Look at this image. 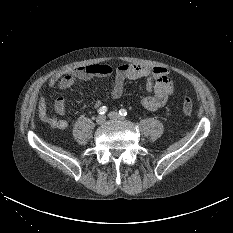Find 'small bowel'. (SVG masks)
I'll list each match as a JSON object with an SVG mask.
<instances>
[{"label":"small bowel","instance_id":"small-bowel-1","mask_svg":"<svg viewBox=\"0 0 233 233\" xmlns=\"http://www.w3.org/2000/svg\"><path fill=\"white\" fill-rule=\"evenodd\" d=\"M93 78H111L113 80L112 98H119L123 94L126 80L146 79L149 94L141 99V104L149 111H155L163 107L168 98L175 92L174 82L166 68L160 66L148 67L130 63H123L117 67L109 64H92L75 67L54 74L49 80V86L65 90L79 82L89 81ZM104 104L103 99H98L95 102V107L101 108ZM53 109L54 116L49 113L46 98L42 94L38 100V115L40 120L52 128L65 129L68 126V122L60 118L66 113L65 98L61 96L56 98Z\"/></svg>","mask_w":233,"mask_h":233}]
</instances>
